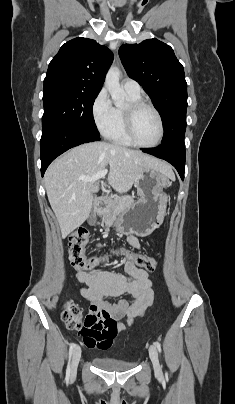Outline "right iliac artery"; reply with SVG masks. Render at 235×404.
<instances>
[{"mask_svg":"<svg viewBox=\"0 0 235 404\" xmlns=\"http://www.w3.org/2000/svg\"><path fill=\"white\" fill-rule=\"evenodd\" d=\"M74 348H75V343L72 342L69 347V361H68V366H67V370H66V379L67 380H69V377H70V360H71V356H72Z\"/></svg>","mask_w":235,"mask_h":404,"instance_id":"82829eb1","label":"right iliac artery"}]
</instances>
